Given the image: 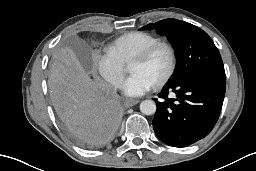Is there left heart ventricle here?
<instances>
[{
    "instance_id": "b2bd125f",
    "label": "left heart ventricle",
    "mask_w": 256,
    "mask_h": 171,
    "mask_svg": "<svg viewBox=\"0 0 256 171\" xmlns=\"http://www.w3.org/2000/svg\"><path fill=\"white\" fill-rule=\"evenodd\" d=\"M170 64L169 53L165 48L158 49L153 56L145 62L130 64L131 73H140L153 84L157 83L167 72Z\"/></svg>"
}]
</instances>
